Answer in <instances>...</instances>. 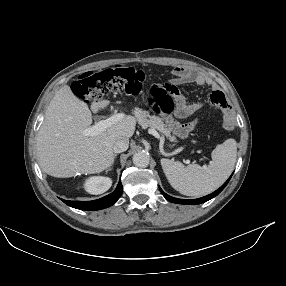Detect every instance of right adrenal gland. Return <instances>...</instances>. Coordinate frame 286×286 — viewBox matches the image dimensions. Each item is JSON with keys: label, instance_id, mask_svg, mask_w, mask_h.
<instances>
[{"label": "right adrenal gland", "instance_id": "right-adrenal-gland-1", "mask_svg": "<svg viewBox=\"0 0 286 286\" xmlns=\"http://www.w3.org/2000/svg\"><path fill=\"white\" fill-rule=\"evenodd\" d=\"M117 157V155L115 154L114 155V157H113V162H112V164H111V166L113 165V163H114V159ZM112 168H108L107 170H106V172H108L109 170H111Z\"/></svg>", "mask_w": 286, "mask_h": 286}]
</instances>
